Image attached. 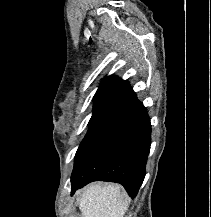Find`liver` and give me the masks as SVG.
<instances>
[{"label": "liver", "mask_w": 211, "mask_h": 217, "mask_svg": "<svg viewBox=\"0 0 211 217\" xmlns=\"http://www.w3.org/2000/svg\"><path fill=\"white\" fill-rule=\"evenodd\" d=\"M129 200H122L120 186L93 184L79 200L81 217H124Z\"/></svg>", "instance_id": "6515ba94"}]
</instances>
